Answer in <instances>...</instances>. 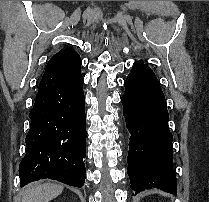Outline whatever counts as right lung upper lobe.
I'll list each match as a JSON object with an SVG mask.
<instances>
[{"instance_id": "cb5924a9", "label": "right lung upper lobe", "mask_w": 209, "mask_h": 202, "mask_svg": "<svg viewBox=\"0 0 209 202\" xmlns=\"http://www.w3.org/2000/svg\"><path fill=\"white\" fill-rule=\"evenodd\" d=\"M61 55L68 57V65L66 66V70L68 71L69 75L80 73L81 59L75 50L67 47L55 54L54 57Z\"/></svg>"}]
</instances>
